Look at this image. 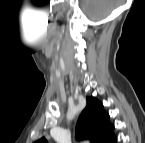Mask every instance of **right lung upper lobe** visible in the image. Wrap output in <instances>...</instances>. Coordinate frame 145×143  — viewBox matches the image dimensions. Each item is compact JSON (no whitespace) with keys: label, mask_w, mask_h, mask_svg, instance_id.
Returning <instances> with one entry per match:
<instances>
[{"label":"right lung upper lobe","mask_w":145,"mask_h":143,"mask_svg":"<svg viewBox=\"0 0 145 143\" xmlns=\"http://www.w3.org/2000/svg\"><path fill=\"white\" fill-rule=\"evenodd\" d=\"M87 105L79 116L76 131L80 137H86L91 143H114V126L103 104L94 97H87ZM37 143H47L43 137Z\"/></svg>","instance_id":"right-lung-upper-lobe-1"}]
</instances>
